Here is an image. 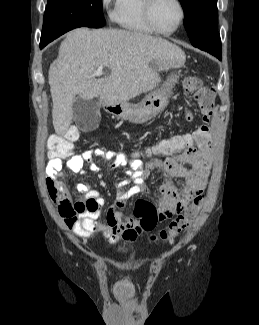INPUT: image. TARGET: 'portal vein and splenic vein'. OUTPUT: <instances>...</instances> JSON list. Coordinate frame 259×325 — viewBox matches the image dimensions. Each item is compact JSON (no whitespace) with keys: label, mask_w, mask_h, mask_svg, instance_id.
<instances>
[{"label":"portal vein and splenic vein","mask_w":259,"mask_h":325,"mask_svg":"<svg viewBox=\"0 0 259 325\" xmlns=\"http://www.w3.org/2000/svg\"><path fill=\"white\" fill-rule=\"evenodd\" d=\"M103 74V66H100L95 73L93 74V76H101Z\"/></svg>","instance_id":"1"}]
</instances>
